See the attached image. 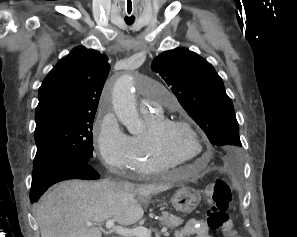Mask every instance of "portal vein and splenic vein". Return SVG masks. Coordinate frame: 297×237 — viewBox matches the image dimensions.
<instances>
[{
    "instance_id": "1",
    "label": "portal vein and splenic vein",
    "mask_w": 297,
    "mask_h": 237,
    "mask_svg": "<svg viewBox=\"0 0 297 237\" xmlns=\"http://www.w3.org/2000/svg\"><path fill=\"white\" fill-rule=\"evenodd\" d=\"M92 222H86L87 227H91ZM106 228L115 231L123 237H151V231L145 227H136L132 229L124 228L121 226H115V219H109L106 222ZM167 232V227L161 229V233L165 234Z\"/></svg>"
}]
</instances>
